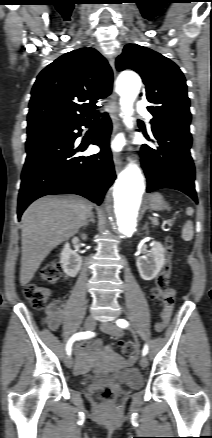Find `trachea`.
Segmentation results:
<instances>
[{"label":"trachea","instance_id":"1","mask_svg":"<svg viewBox=\"0 0 212 438\" xmlns=\"http://www.w3.org/2000/svg\"><path fill=\"white\" fill-rule=\"evenodd\" d=\"M99 120H100L99 117L94 118V121H99Z\"/></svg>","mask_w":212,"mask_h":438}]
</instances>
